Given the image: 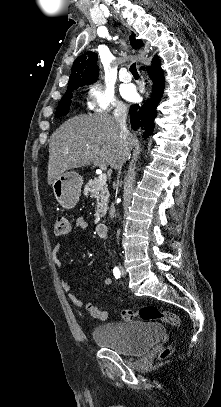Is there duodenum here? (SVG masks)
Wrapping results in <instances>:
<instances>
[{
  "label": "duodenum",
  "instance_id": "duodenum-1",
  "mask_svg": "<svg viewBox=\"0 0 221 407\" xmlns=\"http://www.w3.org/2000/svg\"><path fill=\"white\" fill-rule=\"evenodd\" d=\"M109 230V225L105 223H99L96 226V232L99 236H106Z\"/></svg>",
  "mask_w": 221,
  "mask_h": 407
}]
</instances>
